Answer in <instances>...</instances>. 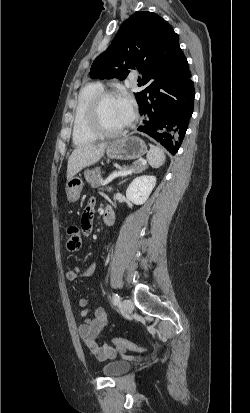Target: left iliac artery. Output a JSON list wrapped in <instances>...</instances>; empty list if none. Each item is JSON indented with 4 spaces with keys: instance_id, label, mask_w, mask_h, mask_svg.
I'll return each instance as SVG.
<instances>
[{
    "instance_id": "obj_1",
    "label": "left iliac artery",
    "mask_w": 250,
    "mask_h": 413,
    "mask_svg": "<svg viewBox=\"0 0 250 413\" xmlns=\"http://www.w3.org/2000/svg\"><path fill=\"white\" fill-rule=\"evenodd\" d=\"M112 302L114 305H118L120 303V297L118 294L116 293L112 294Z\"/></svg>"
}]
</instances>
